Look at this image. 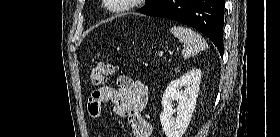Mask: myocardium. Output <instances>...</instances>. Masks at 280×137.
<instances>
[{
  "label": "myocardium",
  "mask_w": 280,
  "mask_h": 137,
  "mask_svg": "<svg viewBox=\"0 0 280 137\" xmlns=\"http://www.w3.org/2000/svg\"><path fill=\"white\" fill-rule=\"evenodd\" d=\"M105 2L107 1L105 0ZM124 2L125 3L121 7L116 9L115 8L112 9L108 4H106V6H109L110 10L113 11L114 13H121L133 9L136 3L139 2V0H126Z\"/></svg>",
  "instance_id": "f54148a6"
}]
</instances>
